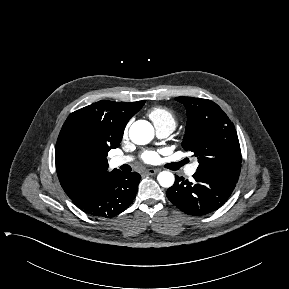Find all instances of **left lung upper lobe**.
<instances>
[{
  "mask_svg": "<svg viewBox=\"0 0 289 289\" xmlns=\"http://www.w3.org/2000/svg\"><path fill=\"white\" fill-rule=\"evenodd\" d=\"M187 110V126L182 141L186 151L198 157V172L211 173L238 181L241 150L233 123L213 101L176 97Z\"/></svg>",
  "mask_w": 289,
  "mask_h": 289,
  "instance_id": "left-lung-upper-lobe-1",
  "label": "left lung upper lobe"
}]
</instances>
